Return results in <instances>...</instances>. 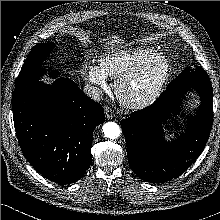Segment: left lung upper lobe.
<instances>
[{"label":"left lung upper lobe","mask_w":220,"mask_h":220,"mask_svg":"<svg viewBox=\"0 0 220 220\" xmlns=\"http://www.w3.org/2000/svg\"><path fill=\"white\" fill-rule=\"evenodd\" d=\"M195 80H210L208 74L203 70V68L196 66V69L192 70L187 68L183 71L180 76H178L175 80H173L167 88L172 89L176 87H180L183 84Z\"/></svg>","instance_id":"1"}]
</instances>
